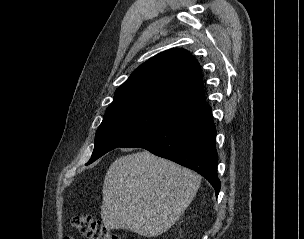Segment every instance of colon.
<instances>
[{
    "label": "colon",
    "instance_id": "colon-1",
    "mask_svg": "<svg viewBox=\"0 0 304 239\" xmlns=\"http://www.w3.org/2000/svg\"><path fill=\"white\" fill-rule=\"evenodd\" d=\"M72 226L87 239H120L100 221L87 214H75L71 218Z\"/></svg>",
    "mask_w": 304,
    "mask_h": 239
}]
</instances>
